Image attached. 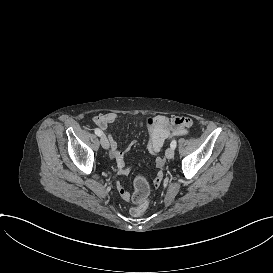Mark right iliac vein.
Here are the masks:
<instances>
[{
	"label": "right iliac vein",
	"instance_id": "1",
	"mask_svg": "<svg viewBox=\"0 0 273 273\" xmlns=\"http://www.w3.org/2000/svg\"><path fill=\"white\" fill-rule=\"evenodd\" d=\"M101 145L104 149H108L109 148V142L108 139L105 136L101 137Z\"/></svg>",
	"mask_w": 273,
	"mask_h": 273
}]
</instances>
